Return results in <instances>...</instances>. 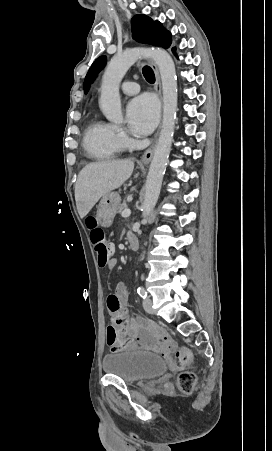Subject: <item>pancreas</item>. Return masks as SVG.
Returning a JSON list of instances; mask_svg holds the SVG:
<instances>
[{
  "instance_id": "pancreas-1",
  "label": "pancreas",
  "mask_w": 272,
  "mask_h": 451,
  "mask_svg": "<svg viewBox=\"0 0 272 451\" xmlns=\"http://www.w3.org/2000/svg\"><path fill=\"white\" fill-rule=\"evenodd\" d=\"M123 210H128L126 202H123V204H120L118 208V214H122Z\"/></svg>"
}]
</instances>
